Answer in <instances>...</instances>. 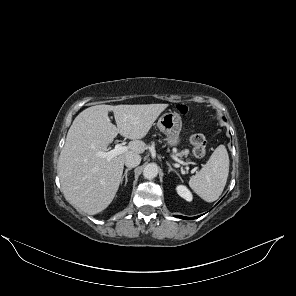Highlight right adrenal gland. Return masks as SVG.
<instances>
[{"label": "right adrenal gland", "mask_w": 296, "mask_h": 296, "mask_svg": "<svg viewBox=\"0 0 296 296\" xmlns=\"http://www.w3.org/2000/svg\"><path fill=\"white\" fill-rule=\"evenodd\" d=\"M131 168H127L124 172V175L122 176V179H121V183L123 182V179L125 178V184L124 186H126L127 182H128V178H127V175H128V171H130Z\"/></svg>", "instance_id": "obj_1"}]
</instances>
